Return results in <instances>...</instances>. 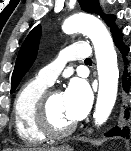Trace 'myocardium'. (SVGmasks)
<instances>
[{
	"mask_svg": "<svg viewBox=\"0 0 131 151\" xmlns=\"http://www.w3.org/2000/svg\"><path fill=\"white\" fill-rule=\"evenodd\" d=\"M60 90L48 88L40 96L36 105L35 120L39 131L48 138H62L70 135L76 128V123L64 129H55L49 118L48 105L52 96L59 94Z\"/></svg>",
	"mask_w": 131,
	"mask_h": 151,
	"instance_id": "1",
	"label": "myocardium"
}]
</instances>
